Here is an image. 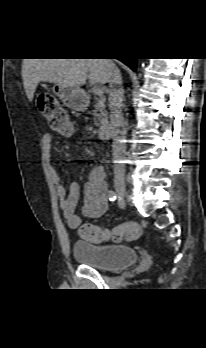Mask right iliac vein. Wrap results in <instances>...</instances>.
<instances>
[{
    "label": "right iliac vein",
    "instance_id": "right-iliac-vein-1",
    "mask_svg": "<svg viewBox=\"0 0 206 348\" xmlns=\"http://www.w3.org/2000/svg\"><path fill=\"white\" fill-rule=\"evenodd\" d=\"M114 186H115L117 193L121 197H125L127 195L125 180L122 176L115 177Z\"/></svg>",
    "mask_w": 206,
    "mask_h": 348
}]
</instances>
